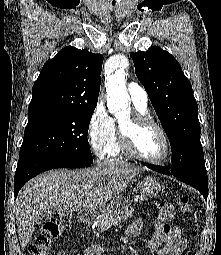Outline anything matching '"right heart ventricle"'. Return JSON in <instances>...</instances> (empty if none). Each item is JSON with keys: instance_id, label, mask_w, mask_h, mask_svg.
I'll return each instance as SVG.
<instances>
[{"instance_id": "e07e8e85", "label": "right heart ventricle", "mask_w": 221, "mask_h": 255, "mask_svg": "<svg viewBox=\"0 0 221 255\" xmlns=\"http://www.w3.org/2000/svg\"><path fill=\"white\" fill-rule=\"evenodd\" d=\"M135 109L140 114H147V107H141L135 105ZM104 154L109 158H122L130 157V155L123 149L119 136H118V127L114 123L113 131L109 137V140L105 146Z\"/></svg>"}]
</instances>
